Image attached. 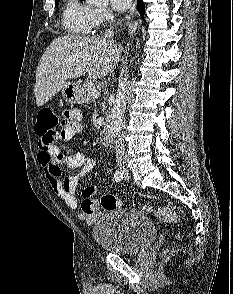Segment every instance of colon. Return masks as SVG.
Returning <instances> with one entry per match:
<instances>
[{
  "label": "colon",
  "instance_id": "obj_1",
  "mask_svg": "<svg viewBox=\"0 0 233 294\" xmlns=\"http://www.w3.org/2000/svg\"><path fill=\"white\" fill-rule=\"evenodd\" d=\"M60 121H65V119L59 118L50 108L40 110L35 124L40 150L51 149L54 146L55 140L64 131L63 126H60ZM46 155L48 158L51 157L50 154ZM100 205L106 210H112L119 206V202L113 195H104L101 198ZM146 209L164 222H178L180 220L177 212L167 206H148Z\"/></svg>",
  "mask_w": 233,
  "mask_h": 294
}]
</instances>
